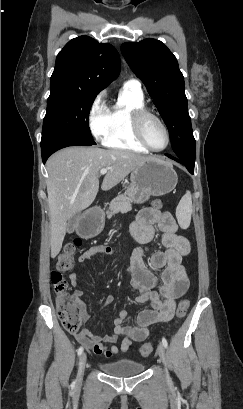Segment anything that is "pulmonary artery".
<instances>
[{
    "label": "pulmonary artery",
    "instance_id": "pulmonary-artery-1",
    "mask_svg": "<svg viewBox=\"0 0 243 409\" xmlns=\"http://www.w3.org/2000/svg\"><path fill=\"white\" fill-rule=\"evenodd\" d=\"M124 88L132 89L137 92H142L141 83L137 79H129L123 84Z\"/></svg>",
    "mask_w": 243,
    "mask_h": 409
}]
</instances>
